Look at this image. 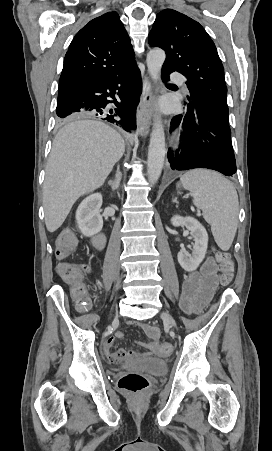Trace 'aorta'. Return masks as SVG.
<instances>
[{
  "label": "aorta",
  "mask_w": 272,
  "mask_h": 451,
  "mask_svg": "<svg viewBox=\"0 0 272 451\" xmlns=\"http://www.w3.org/2000/svg\"><path fill=\"white\" fill-rule=\"evenodd\" d=\"M166 54L164 50L156 48L147 54L146 64L148 72L154 84L160 80L161 68L164 64ZM165 160V134L162 122L157 120L152 130L150 144L148 148L147 174L150 184H157Z\"/></svg>",
  "instance_id": "aorta-1"
}]
</instances>
